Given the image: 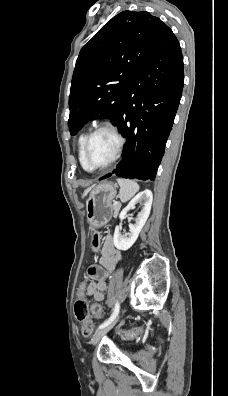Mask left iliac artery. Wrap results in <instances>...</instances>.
<instances>
[{"label": "left iliac artery", "mask_w": 228, "mask_h": 396, "mask_svg": "<svg viewBox=\"0 0 228 396\" xmlns=\"http://www.w3.org/2000/svg\"><path fill=\"white\" fill-rule=\"evenodd\" d=\"M119 310H120V305H119L118 302H116L115 308H114V311H113L112 315H111L105 322H103V323L98 327V329H102L103 327H105V326H107L108 324H110V323L116 318V316L118 315Z\"/></svg>", "instance_id": "obj_1"}]
</instances>
